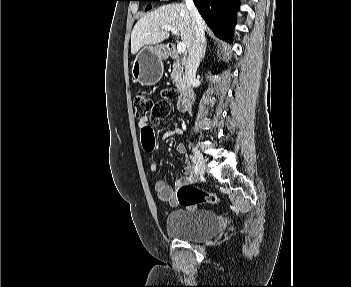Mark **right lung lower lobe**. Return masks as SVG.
<instances>
[{"mask_svg":"<svg viewBox=\"0 0 351 287\" xmlns=\"http://www.w3.org/2000/svg\"><path fill=\"white\" fill-rule=\"evenodd\" d=\"M199 13L221 39L231 42L239 0H193Z\"/></svg>","mask_w":351,"mask_h":287,"instance_id":"right-lung-lower-lobe-1","label":"right lung lower lobe"}]
</instances>
